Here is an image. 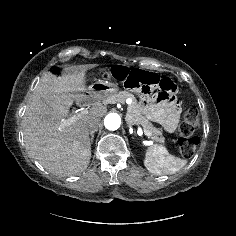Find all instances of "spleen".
<instances>
[{"label":"spleen","instance_id":"3e777b00","mask_svg":"<svg viewBox=\"0 0 236 236\" xmlns=\"http://www.w3.org/2000/svg\"><path fill=\"white\" fill-rule=\"evenodd\" d=\"M186 164V160L169 154L167 149L161 145L149 147L145 153L144 165L156 175H172Z\"/></svg>","mask_w":236,"mask_h":236}]
</instances>
